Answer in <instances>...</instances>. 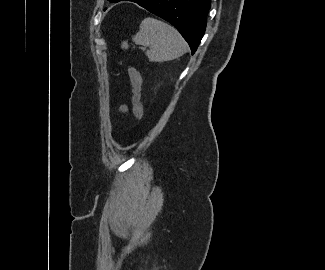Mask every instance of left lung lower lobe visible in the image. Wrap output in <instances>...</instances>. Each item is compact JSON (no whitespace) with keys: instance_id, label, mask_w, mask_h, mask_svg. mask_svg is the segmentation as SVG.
Wrapping results in <instances>:
<instances>
[{"instance_id":"1","label":"left lung lower lobe","mask_w":325,"mask_h":270,"mask_svg":"<svg viewBox=\"0 0 325 270\" xmlns=\"http://www.w3.org/2000/svg\"><path fill=\"white\" fill-rule=\"evenodd\" d=\"M121 1V0H119ZM118 1V2H119ZM171 23L196 51L206 28L211 0H128Z\"/></svg>"}]
</instances>
